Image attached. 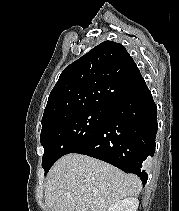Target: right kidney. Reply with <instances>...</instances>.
Returning <instances> with one entry per match:
<instances>
[{
  "label": "right kidney",
  "instance_id": "ca27d5eb",
  "mask_svg": "<svg viewBox=\"0 0 179 211\" xmlns=\"http://www.w3.org/2000/svg\"><path fill=\"white\" fill-rule=\"evenodd\" d=\"M138 206V199L129 197L114 203L107 211H137Z\"/></svg>",
  "mask_w": 179,
  "mask_h": 211
}]
</instances>
